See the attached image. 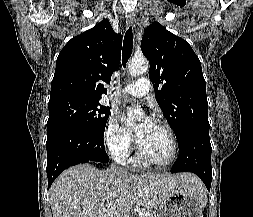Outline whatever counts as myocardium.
<instances>
[{"mask_svg": "<svg viewBox=\"0 0 253 217\" xmlns=\"http://www.w3.org/2000/svg\"><path fill=\"white\" fill-rule=\"evenodd\" d=\"M155 126L166 131V133L168 134V136L170 138L171 146H172V151H171L170 157L165 162H162V163H158V162H154V161L149 160L142 152L138 139L136 140V155H137L138 160L142 164L149 166V167L157 168V169H163V168H167L170 165H172L175 162V160L177 159L178 149H179L178 140H177V136H176L174 130L168 124L163 123V122H158L155 124Z\"/></svg>", "mask_w": 253, "mask_h": 217, "instance_id": "obj_1", "label": "myocardium"}]
</instances>
